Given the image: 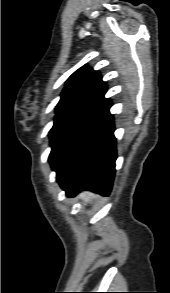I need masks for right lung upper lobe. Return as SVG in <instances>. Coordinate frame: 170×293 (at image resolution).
<instances>
[{
	"label": "right lung upper lobe",
	"instance_id": "obj_1",
	"mask_svg": "<svg viewBox=\"0 0 170 293\" xmlns=\"http://www.w3.org/2000/svg\"><path fill=\"white\" fill-rule=\"evenodd\" d=\"M106 90L99 73L88 67H82L68 79L56 106V114L81 107L109 109L111 101L104 98Z\"/></svg>",
	"mask_w": 170,
	"mask_h": 293
}]
</instances>
